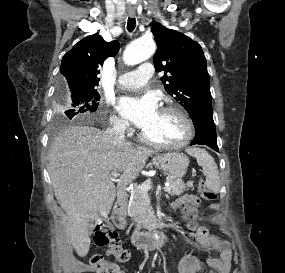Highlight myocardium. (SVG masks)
<instances>
[{
  "instance_id": "obj_1",
  "label": "myocardium",
  "mask_w": 285,
  "mask_h": 273,
  "mask_svg": "<svg viewBox=\"0 0 285 273\" xmlns=\"http://www.w3.org/2000/svg\"><path fill=\"white\" fill-rule=\"evenodd\" d=\"M161 111L174 113L180 118V120L182 121L184 125L183 137L176 142L163 143V142H156V141L149 139L144 134V132L141 131L139 133L140 140L149 146H152L155 148H161V149H180L188 145L193 139L194 134H195L194 123L191 117L189 116V114L182 107L176 104L166 105L161 108Z\"/></svg>"
}]
</instances>
